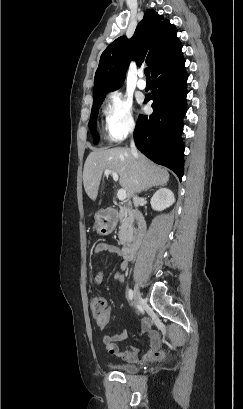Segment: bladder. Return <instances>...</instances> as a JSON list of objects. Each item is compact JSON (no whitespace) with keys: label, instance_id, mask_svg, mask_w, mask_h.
<instances>
[{"label":"bladder","instance_id":"bladder-1","mask_svg":"<svg viewBox=\"0 0 243 409\" xmlns=\"http://www.w3.org/2000/svg\"><path fill=\"white\" fill-rule=\"evenodd\" d=\"M110 367L124 374H136L139 371L137 365L129 363H114Z\"/></svg>","mask_w":243,"mask_h":409}]
</instances>
